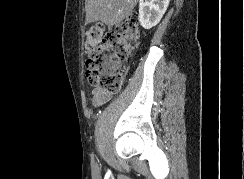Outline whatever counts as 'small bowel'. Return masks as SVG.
I'll use <instances>...</instances> for the list:
<instances>
[{
  "label": "small bowel",
  "mask_w": 244,
  "mask_h": 179,
  "mask_svg": "<svg viewBox=\"0 0 244 179\" xmlns=\"http://www.w3.org/2000/svg\"><path fill=\"white\" fill-rule=\"evenodd\" d=\"M112 97V94L103 91L100 88L97 89H92L91 96H90V101L93 106L95 107H100L104 104H106Z\"/></svg>",
  "instance_id": "c3829d8e"
}]
</instances>
